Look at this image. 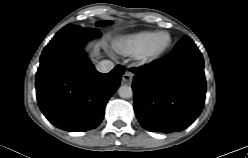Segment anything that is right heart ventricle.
I'll return each instance as SVG.
<instances>
[{
    "label": "right heart ventricle",
    "mask_w": 248,
    "mask_h": 158,
    "mask_svg": "<svg viewBox=\"0 0 248 158\" xmlns=\"http://www.w3.org/2000/svg\"><path fill=\"white\" fill-rule=\"evenodd\" d=\"M153 33L152 31H140L122 36L115 41L114 47L124 55H138L143 51Z\"/></svg>",
    "instance_id": "obj_1"
}]
</instances>
